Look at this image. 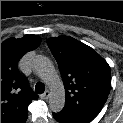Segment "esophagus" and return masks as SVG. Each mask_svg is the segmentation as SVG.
I'll return each instance as SVG.
<instances>
[{
  "label": "esophagus",
  "instance_id": "obj_1",
  "mask_svg": "<svg viewBox=\"0 0 123 123\" xmlns=\"http://www.w3.org/2000/svg\"><path fill=\"white\" fill-rule=\"evenodd\" d=\"M50 96V92L46 90L43 94L40 95L41 99H48Z\"/></svg>",
  "mask_w": 123,
  "mask_h": 123
}]
</instances>
